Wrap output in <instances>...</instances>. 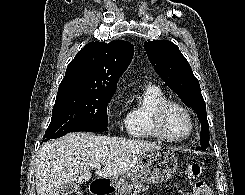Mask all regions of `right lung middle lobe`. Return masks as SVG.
<instances>
[{
  "instance_id": "1",
  "label": "right lung middle lobe",
  "mask_w": 245,
  "mask_h": 195,
  "mask_svg": "<svg viewBox=\"0 0 245 195\" xmlns=\"http://www.w3.org/2000/svg\"><path fill=\"white\" fill-rule=\"evenodd\" d=\"M113 95L96 90L58 93L42 142L87 126H108L107 105Z\"/></svg>"
}]
</instances>
